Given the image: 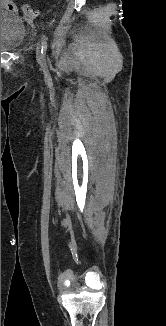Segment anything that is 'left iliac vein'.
<instances>
[{"label":"left iliac vein","mask_w":166,"mask_h":326,"mask_svg":"<svg viewBox=\"0 0 166 326\" xmlns=\"http://www.w3.org/2000/svg\"><path fill=\"white\" fill-rule=\"evenodd\" d=\"M37 55L40 56V50L37 48Z\"/></svg>","instance_id":"1"}]
</instances>
